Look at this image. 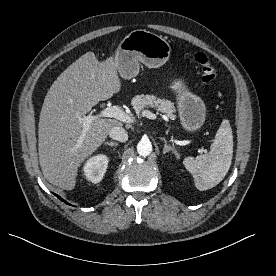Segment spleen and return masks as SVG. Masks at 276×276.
<instances>
[{
	"label": "spleen",
	"mask_w": 276,
	"mask_h": 276,
	"mask_svg": "<svg viewBox=\"0 0 276 276\" xmlns=\"http://www.w3.org/2000/svg\"><path fill=\"white\" fill-rule=\"evenodd\" d=\"M233 156V134L229 120L222 121L210 152L186 157L184 167L193 175L198 190H208L219 184L227 174Z\"/></svg>",
	"instance_id": "obj_1"
}]
</instances>
